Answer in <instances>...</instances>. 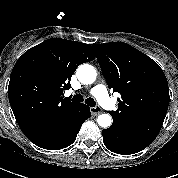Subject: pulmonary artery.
<instances>
[{
    "mask_svg": "<svg viewBox=\"0 0 178 178\" xmlns=\"http://www.w3.org/2000/svg\"><path fill=\"white\" fill-rule=\"evenodd\" d=\"M91 94L96 97L99 103L106 109H113L114 103L110 99L107 89L103 84H98L91 89Z\"/></svg>",
    "mask_w": 178,
    "mask_h": 178,
    "instance_id": "obj_1",
    "label": "pulmonary artery"
}]
</instances>
